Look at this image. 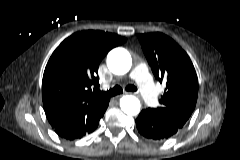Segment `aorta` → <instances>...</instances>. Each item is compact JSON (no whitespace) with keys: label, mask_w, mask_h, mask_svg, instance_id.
I'll use <instances>...</instances> for the list:
<instances>
[{"label":"aorta","mask_w":240,"mask_h":160,"mask_svg":"<svg viewBox=\"0 0 240 160\" xmlns=\"http://www.w3.org/2000/svg\"><path fill=\"white\" fill-rule=\"evenodd\" d=\"M132 65L129 52L124 48H115L107 55V66L116 75L126 74ZM121 110L127 115H138L140 112V101L133 95H125L120 99Z\"/></svg>","instance_id":"aorta-1"}]
</instances>
